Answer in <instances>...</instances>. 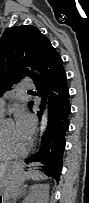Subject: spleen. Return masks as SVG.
Segmentation results:
<instances>
[{"label": "spleen", "instance_id": "3e777b00", "mask_svg": "<svg viewBox=\"0 0 89 203\" xmlns=\"http://www.w3.org/2000/svg\"><path fill=\"white\" fill-rule=\"evenodd\" d=\"M28 177L35 180V181L48 179L47 176H45L43 173H41L40 171H38L36 169L30 170L28 173Z\"/></svg>", "mask_w": 89, "mask_h": 203}]
</instances>
